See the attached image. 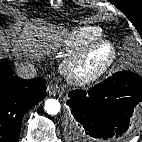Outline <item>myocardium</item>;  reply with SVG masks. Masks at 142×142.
<instances>
[{"label": "myocardium", "instance_id": "obj_1", "mask_svg": "<svg viewBox=\"0 0 142 142\" xmlns=\"http://www.w3.org/2000/svg\"><path fill=\"white\" fill-rule=\"evenodd\" d=\"M96 55H102L99 64L91 69L86 68L88 62ZM117 52L113 43L102 40L88 45L63 64V73L76 85H90L103 77L116 60Z\"/></svg>", "mask_w": 142, "mask_h": 142}]
</instances>
